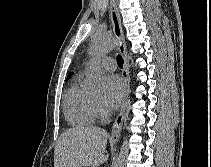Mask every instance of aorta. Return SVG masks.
I'll list each match as a JSON object with an SVG mask.
<instances>
[{
    "label": "aorta",
    "mask_w": 211,
    "mask_h": 167,
    "mask_svg": "<svg viewBox=\"0 0 211 167\" xmlns=\"http://www.w3.org/2000/svg\"><path fill=\"white\" fill-rule=\"evenodd\" d=\"M116 46L117 43L113 37L102 35L96 38L93 42L90 48V54L94 60H98L107 53L111 52L113 49H115ZM105 84L106 76L97 65H94L90 82L91 87L95 90H101L105 86ZM127 155L128 142L127 139H125L123 145L121 146V150L114 167H125Z\"/></svg>",
    "instance_id": "aorta-1"
}]
</instances>
